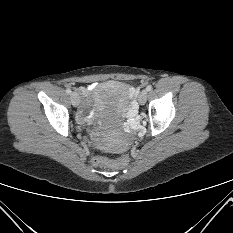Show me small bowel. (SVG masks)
<instances>
[{
  "label": "small bowel",
  "mask_w": 233,
  "mask_h": 233,
  "mask_svg": "<svg viewBox=\"0 0 233 233\" xmlns=\"http://www.w3.org/2000/svg\"><path fill=\"white\" fill-rule=\"evenodd\" d=\"M95 85H96L95 83L88 85L86 89L81 90V93L84 96L88 97L90 92L94 89ZM91 117H92V114L90 113L88 116H86V119H90Z\"/></svg>",
  "instance_id": "small-bowel-1"
}]
</instances>
